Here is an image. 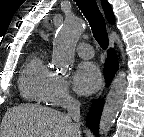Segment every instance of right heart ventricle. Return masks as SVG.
Masks as SVG:
<instances>
[{
	"label": "right heart ventricle",
	"instance_id": "obj_1",
	"mask_svg": "<svg viewBox=\"0 0 144 137\" xmlns=\"http://www.w3.org/2000/svg\"><path fill=\"white\" fill-rule=\"evenodd\" d=\"M56 75L47 66L42 52H34L27 59L19 77L21 96L31 102L47 104Z\"/></svg>",
	"mask_w": 144,
	"mask_h": 137
}]
</instances>
